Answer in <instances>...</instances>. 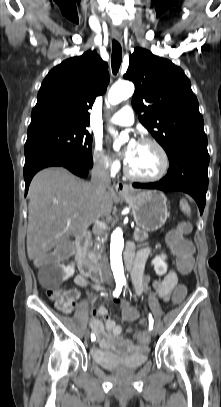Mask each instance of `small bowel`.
<instances>
[{"instance_id": "small-bowel-1", "label": "small bowel", "mask_w": 221, "mask_h": 407, "mask_svg": "<svg viewBox=\"0 0 221 407\" xmlns=\"http://www.w3.org/2000/svg\"><path fill=\"white\" fill-rule=\"evenodd\" d=\"M150 253L151 249L145 248L139 251L136 255L131 273V280L135 294L141 295L143 293H146L148 291V284L151 283L158 297L162 301L167 302L170 300L169 295L170 292H173V287L178 284L177 273L174 270H170L160 280L152 279L150 276L145 275V265ZM74 282L79 287H86L89 285L88 279L82 274L77 275L74 278ZM93 287L96 290L103 289L97 284L93 285ZM68 293L74 297L75 301L79 298L80 295L79 291L76 289L68 290ZM115 303H117L120 307L124 305H131L127 300L118 298L117 296L115 297ZM72 308H70L68 312H70ZM92 313L94 317L92 318L90 325L91 329L94 331L97 337V342L100 348L109 349L114 346L115 340H118L125 348L133 350L130 341L126 340L125 338V334L129 330L125 331L120 325H118L111 318L108 309L105 306H99L93 309ZM96 316H100L103 321L99 320ZM135 336L141 341L144 340V333L142 331H137L135 333ZM140 349H145V347L140 346L134 350Z\"/></svg>"}]
</instances>
